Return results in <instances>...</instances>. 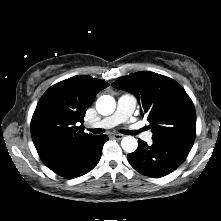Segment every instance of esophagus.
Here are the masks:
<instances>
[{
    "label": "esophagus",
    "mask_w": 221,
    "mask_h": 221,
    "mask_svg": "<svg viewBox=\"0 0 221 221\" xmlns=\"http://www.w3.org/2000/svg\"><path fill=\"white\" fill-rule=\"evenodd\" d=\"M112 137L116 140H121L123 138V135L122 134H114Z\"/></svg>",
    "instance_id": "esophagus-1"
}]
</instances>
